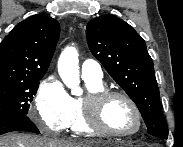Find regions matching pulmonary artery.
I'll return each mask as SVG.
<instances>
[{"mask_svg":"<svg viewBox=\"0 0 183 147\" xmlns=\"http://www.w3.org/2000/svg\"><path fill=\"white\" fill-rule=\"evenodd\" d=\"M81 76L85 81L102 82L103 71L95 60H85L81 66Z\"/></svg>","mask_w":183,"mask_h":147,"instance_id":"obj_1","label":"pulmonary artery"}]
</instances>
